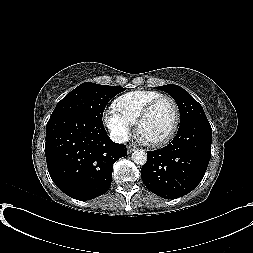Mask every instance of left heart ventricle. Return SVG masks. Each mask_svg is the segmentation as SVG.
Wrapping results in <instances>:
<instances>
[{"label": "left heart ventricle", "mask_w": 253, "mask_h": 253, "mask_svg": "<svg viewBox=\"0 0 253 253\" xmlns=\"http://www.w3.org/2000/svg\"><path fill=\"white\" fill-rule=\"evenodd\" d=\"M175 121L173 105L168 101L158 104L140 129V135L147 141L163 139L172 129Z\"/></svg>", "instance_id": "left-heart-ventricle-1"}]
</instances>
